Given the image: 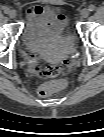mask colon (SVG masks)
I'll use <instances>...</instances> for the list:
<instances>
[{
    "instance_id": "1",
    "label": "colon",
    "mask_w": 104,
    "mask_h": 137,
    "mask_svg": "<svg viewBox=\"0 0 104 137\" xmlns=\"http://www.w3.org/2000/svg\"><path fill=\"white\" fill-rule=\"evenodd\" d=\"M69 65L68 60H64L60 64H42L36 62L33 66L34 70L47 78H53L58 76L64 68ZM60 85L56 83L43 84L38 88V94L42 97H48L58 91Z\"/></svg>"
}]
</instances>
